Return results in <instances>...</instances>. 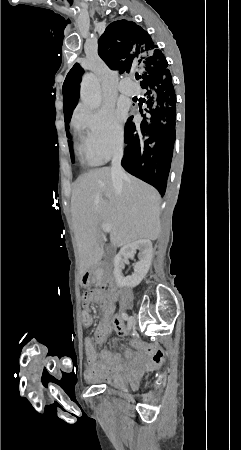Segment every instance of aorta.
Segmentation results:
<instances>
[{"label":"aorta","instance_id":"762f6f07","mask_svg":"<svg viewBox=\"0 0 241 450\" xmlns=\"http://www.w3.org/2000/svg\"><path fill=\"white\" fill-rule=\"evenodd\" d=\"M81 101L90 109H97L101 105V91L98 78L87 73L83 76L81 82Z\"/></svg>","mask_w":241,"mask_h":450}]
</instances>
